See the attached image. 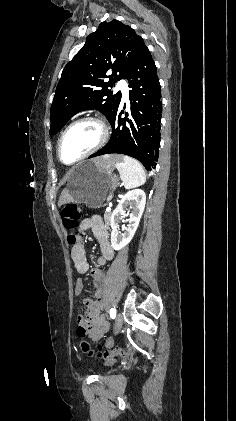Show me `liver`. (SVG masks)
Masks as SVG:
<instances>
[{
	"label": "liver",
	"instance_id": "liver-1",
	"mask_svg": "<svg viewBox=\"0 0 236 421\" xmlns=\"http://www.w3.org/2000/svg\"><path fill=\"white\" fill-rule=\"evenodd\" d=\"M92 160L97 162V164H102V166H114L120 160V154H103V156H96ZM64 202H72V196L67 188H63L58 200V206H61Z\"/></svg>",
	"mask_w": 236,
	"mask_h": 421
}]
</instances>
